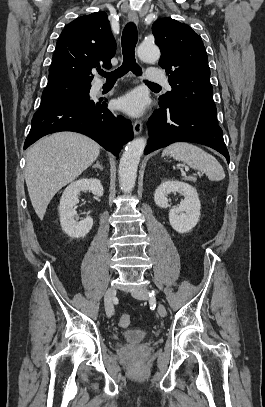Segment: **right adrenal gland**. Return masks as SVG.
Returning a JSON list of instances; mask_svg holds the SVG:
<instances>
[{
	"label": "right adrenal gland",
	"mask_w": 265,
	"mask_h": 407,
	"mask_svg": "<svg viewBox=\"0 0 265 407\" xmlns=\"http://www.w3.org/2000/svg\"><path fill=\"white\" fill-rule=\"evenodd\" d=\"M92 168H99L101 171L103 170V168L100 165L99 161H97L96 164L92 166Z\"/></svg>",
	"instance_id": "1"
}]
</instances>
